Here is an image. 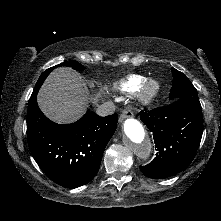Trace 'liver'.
<instances>
[{
    "label": "liver",
    "instance_id": "1",
    "mask_svg": "<svg viewBox=\"0 0 221 221\" xmlns=\"http://www.w3.org/2000/svg\"><path fill=\"white\" fill-rule=\"evenodd\" d=\"M99 94H96V98ZM37 101L42 112L60 124L78 120L89 104L88 88L79 74L67 67L53 70L39 90Z\"/></svg>",
    "mask_w": 221,
    "mask_h": 221
}]
</instances>
